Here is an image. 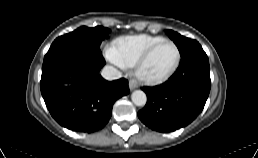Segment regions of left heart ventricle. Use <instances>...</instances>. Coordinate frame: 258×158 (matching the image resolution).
Returning a JSON list of instances; mask_svg holds the SVG:
<instances>
[{
    "label": "left heart ventricle",
    "mask_w": 258,
    "mask_h": 158,
    "mask_svg": "<svg viewBox=\"0 0 258 158\" xmlns=\"http://www.w3.org/2000/svg\"><path fill=\"white\" fill-rule=\"evenodd\" d=\"M176 57V49L171 43L161 44L150 56L143 71L149 76H160L173 66Z\"/></svg>",
    "instance_id": "left-heart-ventricle-1"
}]
</instances>
